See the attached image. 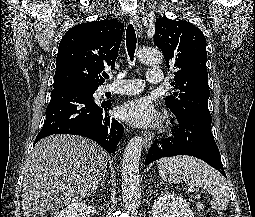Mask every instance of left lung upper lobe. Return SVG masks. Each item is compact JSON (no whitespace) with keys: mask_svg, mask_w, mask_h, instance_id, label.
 Listing matches in <instances>:
<instances>
[{"mask_svg":"<svg viewBox=\"0 0 255 217\" xmlns=\"http://www.w3.org/2000/svg\"><path fill=\"white\" fill-rule=\"evenodd\" d=\"M154 43L163 52L167 67L176 69L171 85L178 92L166 97L168 108L177 118L193 111L210 113L206 39L201 30L190 22L162 17L156 21Z\"/></svg>","mask_w":255,"mask_h":217,"instance_id":"5c2ea615","label":"left lung upper lobe"}]
</instances>
